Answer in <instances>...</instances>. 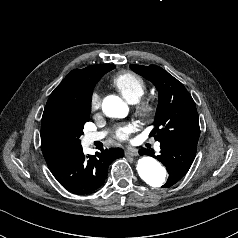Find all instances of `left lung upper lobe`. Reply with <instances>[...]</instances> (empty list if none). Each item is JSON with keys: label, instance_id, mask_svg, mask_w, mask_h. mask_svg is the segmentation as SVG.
Masks as SVG:
<instances>
[{"label": "left lung upper lobe", "instance_id": "obj_1", "mask_svg": "<svg viewBox=\"0 0 238 238\" xmlns=\"http://www.w3.org/2000/svg\"><path fill=\"white\" fill-rule=\"evenodd\" d=\"M130 68L150 80L159 92L155 127L150 136H154L160 143L165 141L198 143L200 127L197 109L183 84L155 65H130Z\"/></svg>", "mask_w": 238, "mask_h": 238}]
</instances>
